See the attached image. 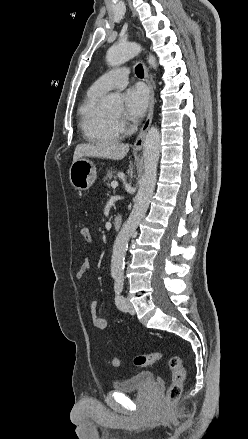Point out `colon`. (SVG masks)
Listing matches in <instances>:
<instances>
[{
	"label": "colon",
	"instance_id": "colon-1",
	"mask_svg": "<svg viewBox=\"0 0 248 439\" xmlns=\"http://www.w3.org/2000/svg\"><path fill=\"white\" fill-rule=\"evenodd\" d=\"M81 233L85 241H92V232L89 228L84 227ZM162 358L163 354L161 352L140 354L134 357L133 363L137 367H145L160 361ZM110 364L113 367H119L121 365V360L119 358H112ZM169 367L171 370V383L167 390V400L169 403H174L181 396L186 372L182 360L177 356H172L169 359Z\"/></svg>",
	"mask_w": 248,
	"mask_h": 439
}]
</instances>
